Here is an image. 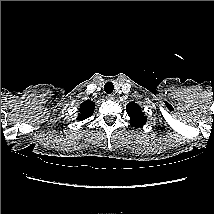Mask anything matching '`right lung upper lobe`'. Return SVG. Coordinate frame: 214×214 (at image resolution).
Returning a JSON list of instances; mask_svg holds the SVG:
<instances>
[{
    "instance_id": "cb5924a9",
    "label": "right lung upper lobe",
    "mask_w": 214,
    "mask_h": 214,
    "mask_svg": "<svg viewBox=\"0 0 214 214\" xmlns=\"http://www.w3.org/2000/svg\"><path fill=\"white\" fill-rule=\"evenodd\" d=\"M95 103L93 101L87 100L80 105L78 120H85L92 116L94 111Z\"/></svg>"
}]
</instances>
